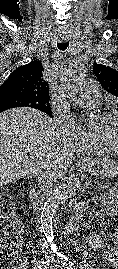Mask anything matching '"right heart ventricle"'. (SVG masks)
<instances>
[{
    "instance_id": "obj_1",
    "label": "right heart ventricle",
    "mask_w": 118,
    "mask_h": 269,
    "mask_svg": "<svg viewBox=\"0 0 118 269\" xmlns=\"http://www.w3.org/2000/svg\"><path fill=\"white\" fill-rule=\"evenodd\" d=\"M87 150L92 151V152H112V153H114V151L111 148H109L105 144L99 143V142L94 143L91 146H88Z\"/></svg>"
}]
</instances>
